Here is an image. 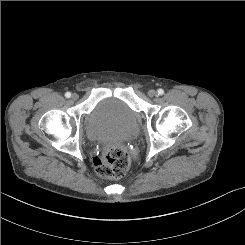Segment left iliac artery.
I'll return each mask as SVG.
<instances>
[{
    "mask_svg": "<svg viewBox=\"0 0 245 245\" xmlns=\"http://www.w3.org/2000/svg\"><path fill=\"white\" fill-rule=\"evenodd\" d=\"M158 95H163L164 94V90L163 89H158Z\"/></svg>",
    "mask_w": 245,
    "mask_h": 245,
    "instance_id": "left-iliac-artery-1",
    "label": "left iliac artery"
}]
</instances>
